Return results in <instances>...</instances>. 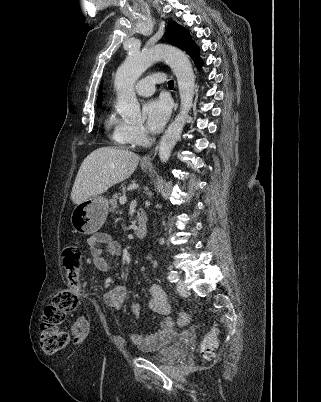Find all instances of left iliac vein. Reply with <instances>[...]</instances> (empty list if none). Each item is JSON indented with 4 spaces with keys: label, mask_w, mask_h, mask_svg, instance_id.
Returning a JSON list of instances; mask_svg holds the SVG:
<instances>
[{
    "label": "left iliac vein",
    "mask_w": 321,
    "mask_h": 402,
    "mask_svg": "<svg viewBox=\"0 0 321 402\" xmlns=\"http://www.w3.org/2000/svg\"><path fill=\"white\" fill-rule=\"evenodd\" d=\"M176 287H177L178 293H179L181 296H188V295H189L188 287H187V285L184 283V281L179 280V281L177 282Z\"/></svg>",
    "instance_id": "4c4485c4"
}]
</instances>
